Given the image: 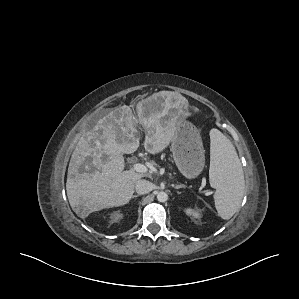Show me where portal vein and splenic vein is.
<instances>
[{"mask_svg": "<svg viewBox=\"0 0 299 299\" xmlns=\"http://www.w3.org/2000/svg\"><path fill=\"white\" fill-rule=\"evenodd\" d=\"M133 169L139 173H146L147 167L144 164L136 163L133 165Z\"/></svg>", "mask_w": 299, "mask_h": 299, "instance_id": "1", "label": "portal vein and splenic vein"}]
</instances>
